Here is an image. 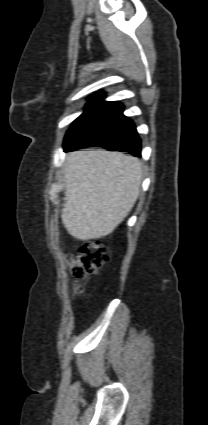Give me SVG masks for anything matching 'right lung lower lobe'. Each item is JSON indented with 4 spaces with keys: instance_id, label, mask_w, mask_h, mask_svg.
I'll return each instance as SVG.
<instances>
[{
    "instance_id": "right-lung-lower-lobe-1",
    "label": "right lung lower lobe",
    "mask_w": 208,
    "mask_h": 425,
    "mask_svg": "<svg viewBox=\"0 0 208 425\" xmlns=\"http://www.w3.org/2000/svg\"><path fill=\"white\" fill-rule=\"evenodd\" d=\"M120 102H106L104 95L88 103L64 140V151L84 147H104L110 151L130 152L141 156V141L132 120L123 115Z\"/></svg>"
}]
</instances>
